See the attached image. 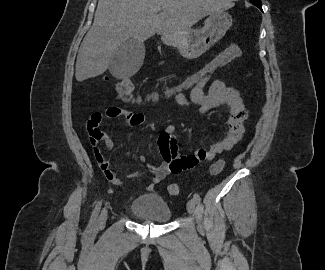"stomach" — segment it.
Listing matches in <instances>:
<instances>
[{"mask_svg": "<svg viewBox=\"0 0 325 270\" xmlns=\"http://www.w3.org/2000/svg\"><path fill=\"white\" fill-rule=\"evenodd\" d=\"M231 25L232 17L229 13H210L202 29L189 30L177 37L162 36V41L176 47L185 58H197L219 41Z\"/></svg>", "mask_w": 325, "mask_h": 270, "instance_id": "0dacf381", "label": "stomach"}]
</instances>
